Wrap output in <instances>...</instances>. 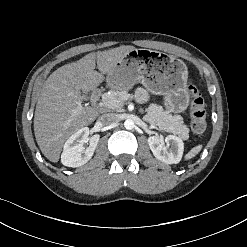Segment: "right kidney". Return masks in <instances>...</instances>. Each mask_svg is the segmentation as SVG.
Instances as JSON below:
<instances>
[{
	"mask_svg": "<svg viewBox=\"0 0 247 247\" xmlns=\"http://www.w3.org/2000/svg\"><path fill=\"white\" fill-rule=\"evenodd\" d=\"M89 128L84 127L72 134L64 144L61 163L67 167H79L87 163L93 156L99 142V135L89 138ZM89 141V147L84 144Z\"/></svg>",
	"mask_w": 247,
	"mask_h": 247,
	"instance_id": "right-kidney-1",
	"label": "right kidney"
}]
</instances>
